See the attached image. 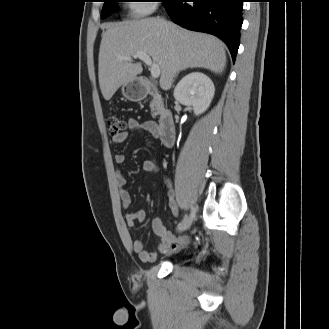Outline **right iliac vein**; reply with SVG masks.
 Returning <instances> with one entry per match:
<instances>
[{"mask_svg": "<svg viewBox=\"0 0 329 329\" xmlns=\"http://www.w3.org/2000/svg\"><path fill=\"white\" fill-rule=\"evenodd\" d=\"M193 218H184V220L180 223V225L178 226V232H183L185 230H187L191 223H192Z\"/></svg>", "mask_w": 329, "mask_h": 329, "instance_id": "right-iliac-vein-1", "label": "right iliac vein"}]
</instances>
